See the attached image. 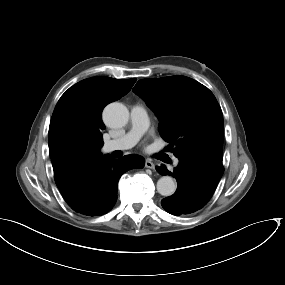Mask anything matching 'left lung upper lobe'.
<instances>
[{"label": "left lung upper lobe", "instance_id": "1", "mask_svg": "<svg viewBox=\"0 0 285 285\" xmlns=\"http://www.w3.org/2000/svg\"><path fill=\"white\" fill-rule=\"evenodd\" d=\"M133 91L156 113L159 133L175 157L222 161L223 115L212 92L186 76L142 79Z\"/></svg>", "mask_w": 285, "mask_h": 285}]
</instances>
